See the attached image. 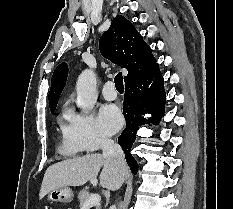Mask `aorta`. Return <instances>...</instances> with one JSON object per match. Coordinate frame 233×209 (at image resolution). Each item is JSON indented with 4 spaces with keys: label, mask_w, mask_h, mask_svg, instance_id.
<instances>
[{
    "label": "aorta",
    "mask_w": 233,
    "mask_h": 209,
    "mask_svg": "<svg viewBox=\"0 0 233 209\" xmlns=\"http://www.w3.org/2000/svg\"><path fill=\"white\" fill-rule=\"evenodd\" d=\"M77 102L84 112H89L97 101L96 75L90 69H85L76 83Z\"/></svg>",
    "instance_id": "1"
}]
</instances>
